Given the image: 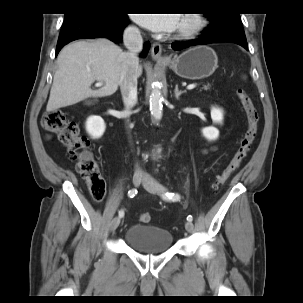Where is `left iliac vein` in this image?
<instances>
[{
    "label": "left iliac vein",
    "instance_id": "4c4485c4",
    "mask_svg": "<svg viewBox=\"0 0 303 303\" xmlns=\"http://www.w3.org/2000/svg\"><path fill=\"white\" fill-rule=\"evenodd\" d=\"M142 185L151 193L162 194L166 191V188L159 184L156 180L151 178L149 175H146L142 181ZM185 229L187 232L191 233L194 230V225L191 221L185 223Z\"/></svg>",
    "mask_w": 303,
    "mask_h": 303
}]
</instances>
